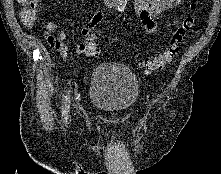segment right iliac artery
Here are the masks:
<instances>
[{
  "mask_svg": "<svg viewBox=\"0 0 221 174\" xmlns=\"http://www.w3.org/2000/svg\"><path fill=\"white\" fill-rule=\"evenodd\" d=\"M69 107H70V95L68 91V94L65 96L63 106H62V117L64 121H67L68 119Z\"/></svg>",
  "mask_w": 221,
  "mask_h": 174,
  "instance_id": "obj_1",
  "label": "right iliac artery"
}]
</instances>
